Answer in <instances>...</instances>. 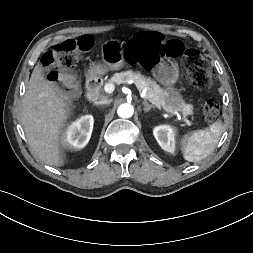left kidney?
Listing matches in <instances>:
<instances>
[{"label":"left kidney","instance_id":"5707ae66","mask_svg":"<svg viewBox=\"0 0 253 253\" xmlns=\"http://www.w3.org/2000/svg\"><path fill=\"white\" fill-rule=\"evenodd\" d=\"M155 139L160 147L170 153L175 151V133L168 125L157 126L153 130Z\"/></svg>","mask_w":253,"mask_h":253}]
</instances>
